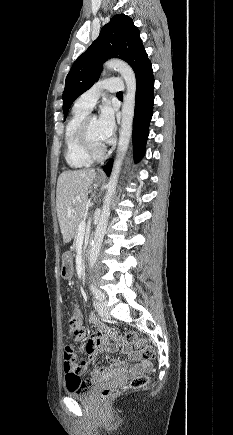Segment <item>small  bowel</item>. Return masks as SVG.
<instances>
[{"label": "small bowel", "instance_id": "1", "mask_svg": "<svg viewBox=\"0 0 233 435\" xmlns=\"http://www.w3.org/2000/svg\"><path fill=\"white\" fill-rule=\"evenodd\" d=\"M76 313L80 316V310L76 308ZM89 322L97 327V331L93 336H91L85 344V350L89 354V358L87 360H83L80 363V367H73L70 362L64 365L65 372V383L68 385V376L71 374L80 375L83 371L88 367L93 358L101 351V350H114L118 346H106L105 342L109 335L108 328L99 320L96 314L91 313L89 315ZM86 338V332L83 328L75 335L74 339L77 342H82ZM122 354L129 356L133 361H136L135 370H142L145 368V365L141 363V358L135 352H133L132 348L128 345L122 344L119 346ZM76 358V357H75ZM123 369V364L119 361L112 360L109 366H96L93 369V374L90 380H94L100 376L105 375L108 372H117Z\"/></svg>", "mask_w": 233, "mask_h": 435}]
</instances>
